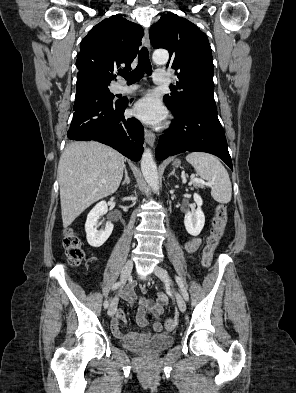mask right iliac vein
I'll list each match as a JSON object with an SVG mask.
<instances>
[{
	"mask_svg": "<svg viewBox=\"0 0 296 393\" xmlns=\"http://www.w3.org/2000/svg\"><path fill=\"white\" fill-rule=\"evenodd\" d=\"M132 268H133V261L132 260H128L125 263V265H124V267L122 269V272H121L120 280H121L122 283L126 282V280L128 279V277H129V275H130V273L132 271ZM117 301H118L117 298H114L113 301L111 302L110 307L108 309V315L109 316H113L115 314V311H116V308H117Z\"/></svg>",
	"mask_w": 296,
	"mask_h": 393,
	"instance_id": "right-iliac-vein-1",
	"label": "right iliac vein"
}]
</instances>
